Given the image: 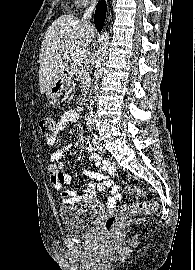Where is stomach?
Returning <instances> with one entry per match:
<instances>
[{"label": "stomach", "instance_id": "obj_1", "mask_svg": "<svg viewBox=\"0 0 195 270\" xmlns=\"http://www.w3.org/2000/svg\"><path fill=\"white\" fill-rule=\"evenodd\" d=\"M70 85V77L64 72L55 80L51 87L46 91L48 99L59 97Z\"/></svg>", "mask_w": 195, "mask_h": 270}]
</instances>
